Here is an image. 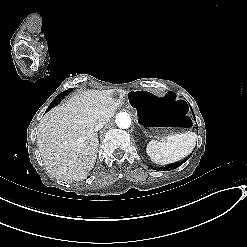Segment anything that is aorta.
<instances>
[{
  "instance_id": "762f6f07",
  "label": "aorta",
  "mask_w": 247,
  "mask_h": 247,
  "mask_svg": "<svg viewBox=\"0 0 247 247\" xmlns=\"http://www.w3.org/2000/svg\"><path fill=\"white\" fill-rule=\"evenodd\" d=\"M116 124L121 129H127L131 125V118L128 113H119L116 117Z\"/></svg>"
}]
</instances>
